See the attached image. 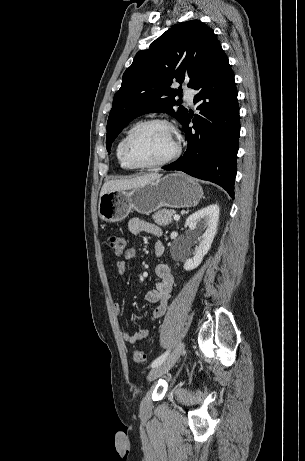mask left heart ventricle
Masks as SVG:
<instances>
[{"label":"left heart ventricle","instance_id":"1","mask_svg":"<svg viewBox=\"0 0 305 461\" xmlns=\"http://www.w3.org/2000/svg\"><path fill=\"white\" fill-rule=\"evenodd\" d=\"M175 149L173 134L164 126L143 128L131 144V154L139 162L154 163L168 157Z\"/></svg>","mask_w":305,"mask_h":461}]
</instances>
